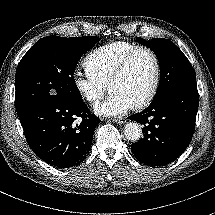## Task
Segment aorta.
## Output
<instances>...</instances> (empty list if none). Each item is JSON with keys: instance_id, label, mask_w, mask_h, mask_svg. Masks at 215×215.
<instances>
[{"instance_id": "762f6f07", "label": "aorta", "mask_w": 215, "mask_h": 215, "mask_svg": "<svg viewBox=\"0 0 215 215\" xmlns=\"http://www.w3.org/2000/svg\"><path fill=\"white\" fill-rule=\"evenodd\" d=\"M124 135L128 141L137 142L142 136V129L136 123H128L124 130Z\"/></svg>"}]
</instances>
